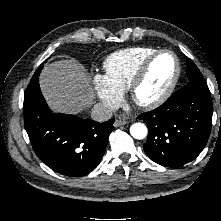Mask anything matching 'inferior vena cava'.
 <instances>
[{
  "label": "inferior vena cava",
  "instance_id": "inferior-vena-cava-1",
  "mask_svg": "<svg viewBox=\"0 0 221 221\" xmlns=\"http://www.w3.org/2000/svg\"><path fill=\"white\" fill-rule=\"evenodd\" d=\"M112 116L113 109L102 103L95 104L91 111L92 119L98 122L108 121Z\"/></svg>",
  "mask_w": 221,
  "mask_h": 221
}]
</instances>
